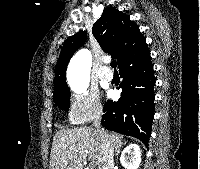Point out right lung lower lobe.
Masks as SVG:
<instances>
[{"instance_id":"1","label":"right lung lower lobe","mask_w":200,"mask_h":169,"mask_svg":"<svg viewBox=\"0 0 200 169\" xmlns=\"http://www.w3.org/2000/svg\"><path fill=\"white\" fill-rule=\"evenodd\" d=\"M119 71L123 78L121 97L117 102L105 103L101 124L108 130L136 137L147 146L155 99L150 51L123 64Z\"/></svg>"}]
</instances>
